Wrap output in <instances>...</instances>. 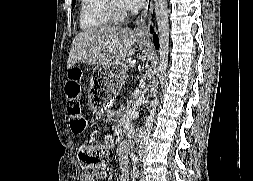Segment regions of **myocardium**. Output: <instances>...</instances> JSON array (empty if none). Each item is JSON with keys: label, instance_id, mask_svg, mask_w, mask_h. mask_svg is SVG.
Returning a JSON list of instances; mask_svg holds the SVG:
<instances>
[{"label": "myocardium", "instance_id": "f54148a6", "mask_svg": "<svg viewBox=\"0 0 253 181\" xmlns=\"http://www.w3.org/2000/svg\"><path fill=\"white\" fill-rule=\"evenodd\" d=\"M105 10L111 21L114 22L122 21L128 15L127 10L120 7L116 0H105Z\"/></svg>", "mask_w": 253, "mask_h": 181}]
</instances>
